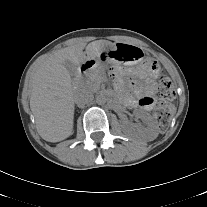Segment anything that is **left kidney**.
Listing matches in <instances>:
<instances>
[{
    "mask_svg": "<svg viewBox=\"0 0 207 207\" xmlns=\"http://www.w3.org/2000/svg\"><path fill=\"white\" fill-rule=\"evenodd\" d=\"M135 116L140 118L143 121L145 126H139L137 132L142 136L146 141H153L158 136L157 126L149 113L143 111H136ZM123 131L128 135H133L136 133V130L133 129L128 122L122 123Z\"/></svg>",
    "mask_w": 207,
    "mask_h": 207,
    "instance_id": "obj_1",
    "label": "left kidney"
}]
</instances>
